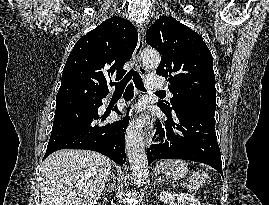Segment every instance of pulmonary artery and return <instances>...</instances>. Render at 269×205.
<instances>
[{
    "mask_svg": "<svg viewBox=\"0 0 269 205\" xmlns=\"http://www.w3.org/2000/svg\"><path fill=\"white\" fill-rule=\"evenodd\" d=\"M144 82H145V86L148 89H154V90L165 89V85H164L163 79L161 77L147 75V76H145Z\"/></svg>",
    "mask_w": 269,
    "mask_h": 205,
    "instance_id": "e3ab8cb5",
    "label": "pulmonary artery"
}]
</instances>
